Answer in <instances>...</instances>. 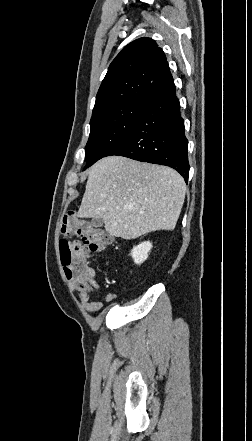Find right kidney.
Masks as SVG:
<instances>
[{
	"label": "right kidney",
	"mask_w": 252,
	"mask_h": 441,
	"mask_svg": "<svg viewBox=\"0 0 252 441\" xmlns=\"http://www.w3.org/2000/svg\"><path fill=\"white\" fill-rule=\"evenodd\" d=\"M152 249V243L150 241L141 242L139 245L134 246L130 255L137 265L142 264L147 258L150 250Z\"/></svg>",
	"instance_id": "obj_1"
}]
</instances>
